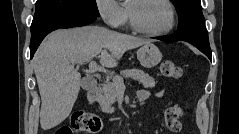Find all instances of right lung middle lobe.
I'll return each mask as SVG.
<instances>
[{"instance_id": "obj_1", "label": "right lung middle lobe", "mask_w": 239, "mask_h": 134, "mask_svg": "<svg viewBox=\"0 0 239 134\" xmlns=\"http://www.w3.org/2000/svg\"><path fill=\"white\" fill-rule=\"evenodd\" d=\"M63 12H78L96 17L100 16L96 0H37L31 29L49 17Z\"/></svg>"}]
</instances>
